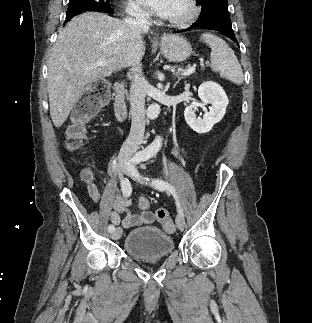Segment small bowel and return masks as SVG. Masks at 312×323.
<instances>
[{
  "mask_svg": "<svg viewBox=\"0 0 312 323\" xmlns=\"http://www.w3.org/2000/svg\"><path fill=\"white\" fill-rule=\"evenodd\" d=\"M81 179L86 184L91 200L95 203L101 200V193L95 183L94 173L89 166L81 170ZM113 208L108 212V218L114 225L122 224L124 228H133L153 224L155 215L151 211H144L140 214L132 213L129 210L130 201L123 198H116ZM123 215V219L121 218Z\"/></svg>",
  "mask_w": 312,
  "mask_h": 323,
  "instance_id": "c3829d8e",
  "label": "small bowel"
}]
</instances>
